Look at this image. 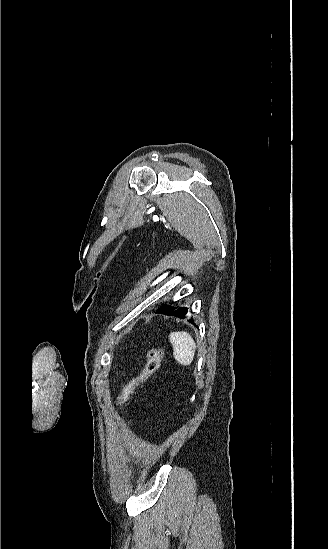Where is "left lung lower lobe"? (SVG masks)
Masks as SVG:
<instances>
[{
  "label": "left lung lower lobe",
  "instance_id": "left-lung-lower-lobe-1",
  "mask_svg": "<svg viewBox=\"0 0 328 549\" xmlns=\"http://www.w3.org/2000/svg\"><path fill=\"white\" fill-rule=\"evenodd\" d=\"M156 313H161V314H165V315H170V316H176L178 318H185L186 317V314H187V308L185 307H182V308H179L178 310H175L174 307H172L171 305H163L162 307H160ZM191 322H193L192 320H190Z\"/></svg>",
  "mask_w": 328,
  "mask_h": 549
}]
</instances>
